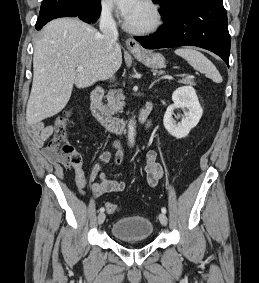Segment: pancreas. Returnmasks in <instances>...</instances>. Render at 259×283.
Here are the masks:
<instances>
[{
  "instance_id": "pancreas-1",
  "label": "pancreas",
  "mask_w": 259,
  "mask_h": 283,
  "mask_svg": "<svg viewBox=\"0 0 259 283\" xmlns=\"http://www.w3.org/2000/svg\"><path fill=\"white\" fill-rule=\"evenodd\" d=\"M178 83L195 85V81L189 77H186L182 80H179ZM125 96L122 91L119 90L115 96V92L111 91L107 95V107L112 113L122 112L123 106L125 105L124 100Z\"/></svg>"
}]
</instances>
